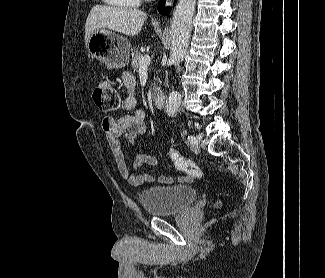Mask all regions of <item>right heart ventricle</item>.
Returning <instances> with one entry per match:
<instances>
[{
    "label": "right heart ventricle",
    "instance_id": "1",
    "mask_svg": "<svg viewBox=\"0 0 325 278\" xmlns=\"http://www.w3.org/2000/svg\"><path fill=\"white\" fill-rule=\"evenodd\" d=\"M108 5L119 8H135L140 5L141 0H103Z\"/></svg>",
    "mask_w": 325,
    "mask_h": 278
}]
</instances>
